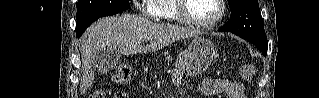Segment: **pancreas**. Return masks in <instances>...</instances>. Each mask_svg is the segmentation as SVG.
I'll list each match as a JSON object with an SVG mask.
<instances>
[{"label":"pancreas","instance_id":"pancreas-1","mask_svg":"<svg viewBox=\"0 0 319 98\" xmlns=\"http://www.w3.org/2000/svg\"><path fill=\"white\" fill-rule=\"evenodd\" d=\"M167 58H168L169 61L172 60V56H171V55H168V54H167Z\"/></svg>","mask_w":319,"mask_h":98}]
</instances>
